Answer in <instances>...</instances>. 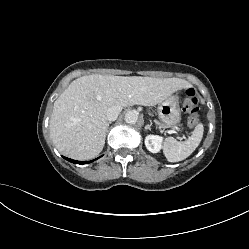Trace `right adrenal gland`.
I'll list each match as a JSON object with an SVG mask.
<instances>
[{"label": "right adrenal gland", "mask_w": 249, "mask_h": 249, "mask_svg": "<svg viewBox=\"0 0 249 249\" xmlns=\"http://www.w3.org/2000/svg\"><path fill=\"white\" fill-rule=\"evenodd\" d=\"M110 124H111V122L108 123V127H109ZM108 127H107V128H108Z\"/></svg>", "instance_id": "2a0ac1e0"}]
</instances>
